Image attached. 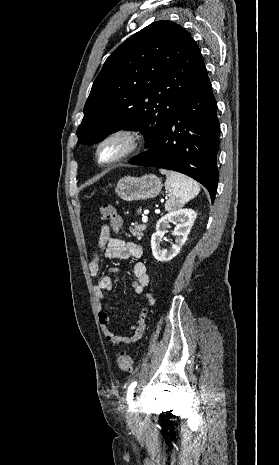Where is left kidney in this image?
Instances as JSON below:
<instances>
[{
    "mask_svg": "<svg viewBox=\"0 0 279 465\" xmlns=\"http://www.w3.org/2000/svg\"><path fill=\"white\" fill-rule=\"evenodd\" d=\"M196 212L192 209H177L161 217L156 224V232L151 237V249L156 260L168 262L181 250L196 219ZM175 224L173 234L175 243L169 250L161 249V241L170 224Z\"/></svg>",
    "mask_w": 279,
    "mask_h": 465,
    "instance_id": "obj_1",
    "label": "left kidney"
}]
</instances>
